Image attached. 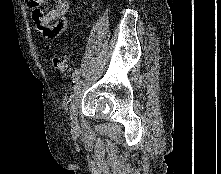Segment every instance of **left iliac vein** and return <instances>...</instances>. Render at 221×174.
I'll list each match as a JSON object with an SVG mask.
<instances>
[{
  "instance_id": "1",
  "label": "left iliac vein",
  "mask_w": 221,
  "mask_h": 174,
  "mask_svg": "<svg viewBox=\"0 0 221 174\" xmlns=\"http://www.w3.org/2000/svg\"><path fill=\"white\" fill-rule=\"evenodd\" d=\"M82 85H83V80L80 79L74 87L72 101L70 104V119H71L72 127L74 129L79 128L78 119H77V111H78V106L81 100Z\"/></svg>"
}]
</instances>
